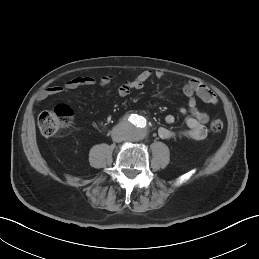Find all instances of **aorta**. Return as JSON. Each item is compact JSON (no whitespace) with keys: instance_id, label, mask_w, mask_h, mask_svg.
Listing matches in <instances>:
<instances>
[{"instance_id":"obj_1","label":"aorta","mask_w":259,"mask_h":259,"mask_svg":"<svg viewBox=\"0 0 259 259\" xmlns=\"http://www.w3.org/2000/svg\"><path fill=\"white\" fill-rule=\"evenodd\" d=\"M140 118L136 122L127 121V135L128 138L134 141L142 140L145 138L147 134V127L144 122L139 121Z\"/></svg>"}]
</instances>
